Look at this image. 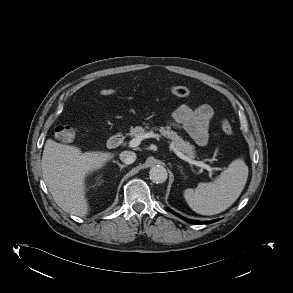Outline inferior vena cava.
Segmentation results:
<instances>
[{"label":"inferior vena cava","mask_w":293,"mask_h":293,"mask_svg":"<svg viewBox=\"0 0 293 293\" xmlns=\"http://www.w3.org/2000/svg\"><path fill=\"white\" fill-rule=\"evenodd\" d=\"M136 153L132 151H123L120 153V160L125 164H132L136 160Z\"/></svg>","instance_id":"1"}]
</instances>
